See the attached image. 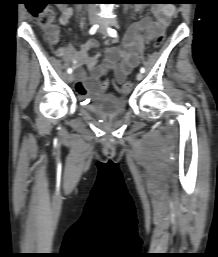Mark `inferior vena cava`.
I'll list each match as a JSON object with an SVG mask.
<instances>
[{"label":"inferior vena cava","mask_w":218,"mask_h":257,"mask_svg":"<svg viewBox=\"0 0 218 257\" xmlns=\"http://www.w3.org/2000/svg\"><path fill=\"white\" fill-rule=\"evenodd\" d=\"M96 6H97L96 4H91V5H90V8L95 9Z\"/></svg>","instance_id":"inferior-vena-cava-1"}]
</instances>
